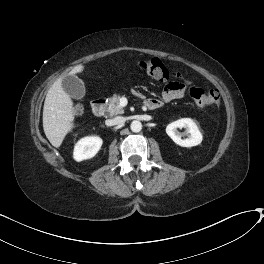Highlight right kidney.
<instances>
[{"label":"right kidney","mask_w":264,"mask_h":264,"mask_svg":"<svg viewBox=\"0 0 264 264\" xmlns=\"http://www.w3.org/2000/svg\"><path fill=\"white\" fill-rule=\"evenodd\" d=\"M102 146V139L97 136L85 137L79 140L73 152L76 161H82L94 157Z\"/></svg>","instance_id":"ca27d5eb"}]
</instances>
